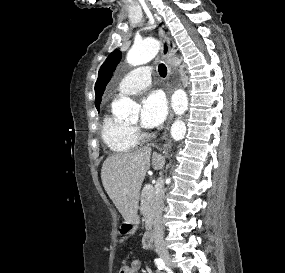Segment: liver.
<instances>
[{
	"instance_id": "6515ba94",
	"label": "liver",
	"mask_w": 285,
	"mask_h": 273,
	"mask_svg": "<svg viewBox=\"0 0 285 273\" xmlns=\"http://www.w3.org/2000/svg\"><path fill=\"white\" fill-rule=\"evenodd\" d=\"M151 151L150 147H143L132 152L114 154L102 165L104 189L127 222L137 218L139 192L151 165ZM164 164L165 158L153 153V168L160 170Z\"/></svg>"
}]
</instances>
